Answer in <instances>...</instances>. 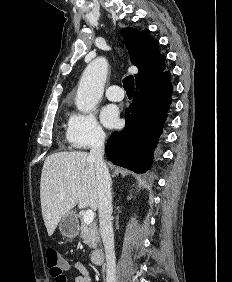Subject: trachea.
I'll return each instance as SVG.
<instances>
[{"mask_svg":"<svg viewBox=\"0 0 232 282\" xmlns=\"http://www.w3.org/2000/svg\"><path fill=\"white\" fill-rule=\"evenodd\" d=\"M123 87L125 91L133 92L134 91V77L133 75H129L123 79Z\"/></svg>","mask_w":232,"mask_h":282,"instance_id":"1","label":"trachea"}]
</instances>
